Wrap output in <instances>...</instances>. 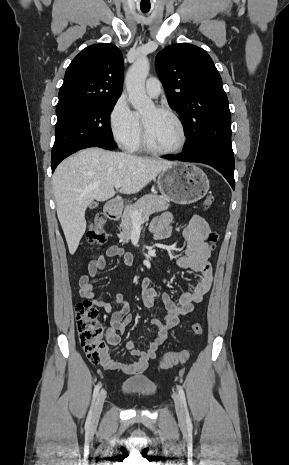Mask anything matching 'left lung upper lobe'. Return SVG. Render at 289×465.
Instances as JSON below:
<instances>
[{"mask_svg": "<svg viewBox=\"0 0 289 465\" xmlns=\"http://www.w3.org/2000/svg\"><path fill=\"white\" fill-rule=\"evenodd\" d=\"M155 66L169 105L184 122V152L202 147L233 151L228 99L208 53L188 43L172 44L157 54Z\"/></svg>", "mask_w": 289, "mask_h": 465, "instance_id": "5c2ea615", "label": "left lung upper lobe"}]
</instances>
